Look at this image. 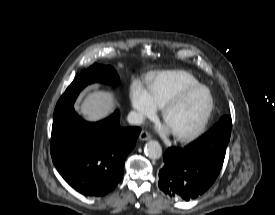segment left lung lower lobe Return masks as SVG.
<instances>
[{"mask_svg":"<svg viewBox=\"0 0 275 215\" xmlns=\"http://www.w3.org/2000/svg\"><path fill=\"white\" fill-rule=\"evenodd\" d=\"M222 163L195 153L191 145L172 147L164 154L159 188L171 198L189 201L207 191L217 178Z\"/></svg>","mask_w":275,"mask_h":215,"instance_id":"obj_1","label":"left lung lower lobe"}]
</instances>
